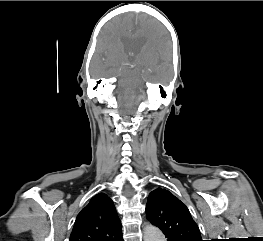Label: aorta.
<instances>
[{
	"label": "aorta",
	"mask_w": 263,
	"mask_h": 241,
	"mask_svg": "<svg viewBox=\"0 0 263 241\" xmlns=\"http://www.w3.org/2000/svg\"><path fill=\"white\" fill-rule=\"evenodd\" d=\"M143 239L144 241H166L162 232L152 225L144 228Z\"/></svg>",
	"instance_id": "aorta-1"
}]
</instances>
